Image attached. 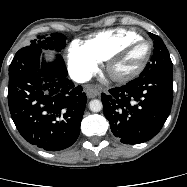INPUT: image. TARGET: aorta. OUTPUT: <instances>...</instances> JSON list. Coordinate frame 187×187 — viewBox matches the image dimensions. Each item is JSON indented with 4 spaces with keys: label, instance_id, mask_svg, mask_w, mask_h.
I'll use <instances>...</instances> for the list:
<instances>
[{
    "label": "aorta",
    "instance_id": "762f6f07",
    "mask_svg": "<svg viewBox=\"0 0 187 187\" xmlns=\"http://www.w3.org/2000/svg\"><path fill=\"white\" fill-rule=\"evenodd\" d=\"M89 108L92 112H100L103 108L102 102L98 99L89 102Z\"/></svg>",
    "mask_w": 187,
    "mask_h": 187
}]
</instances>
